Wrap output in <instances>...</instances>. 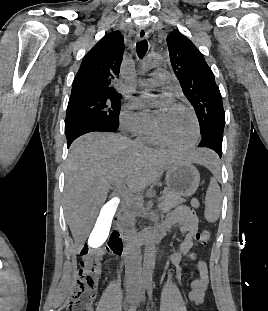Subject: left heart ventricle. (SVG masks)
Wrapping results in <instances>:
<instances>
[{"instance_id":"obj_1","label":"left heart ventricle","mask_w":268,"mask_h":311,"mask_svg":"<svg viewBox=\"0 0 268 311\" xmlns=\"http://www.w3.org/2000/svg\"><path fill=\"white\" fill-rule=\"evenodd\" d=\"M158 128L162 136L175 144L184 145L194 136V125L189 114L174 106L156 114Z\"/></svg>"}]
</instances>
